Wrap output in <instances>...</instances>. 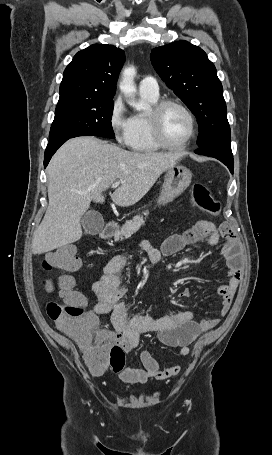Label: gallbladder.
Masks as SVG:
<instances>
[{
	"label": "gallbladder",
	"mask_w": 272,
	"mask_h": 455,
	"mask_svg": "<svg viewBox=\"0 0 272 455\" xmlns=\"http://www.w3.org/2000/svg\"><path fill=\"white\" fill-rule=\"evenodd\" d=\"M81 225L87 234L94 235L102 230L104 220L100 213L96 211H89L82 216Z\"/></svg>",
	"instance_id": "1"
}]
</instances>
